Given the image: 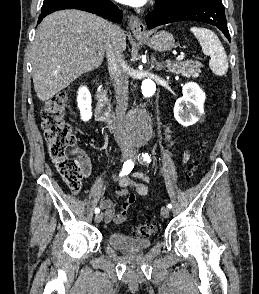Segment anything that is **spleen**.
I'll use <instances>...</instances> for the list:
<instances>
[{
  "label": "spleen",
  "instance_id": "spleen-1",
  "mask_svg": "<svg viewBox=\"0 0 259 294\" xmlns=\"http://www.w3.org/2000/svg\"><path fill=\"white\" fill-rule=\"evenodd\" d=\"M191 32L199 41L202 51L210 56L209 66L217 76H223L228 71V59L221 41L217 35L206 28L191 27Z\"/></svg>",
  "mask_w": 259,
  "mask_h": 294
}]
</instances>
